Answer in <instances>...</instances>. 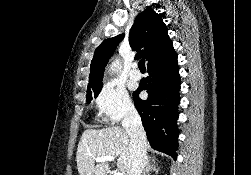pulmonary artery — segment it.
<instances>
[{
  "label": "pulmonary artery",
  "mask_w": 251,
  "mask_h": 175,
  "mask_svg": "<svg viewBox=\"0 0 251 175\" xmlns=\"http://www.w3.org/2000/svg\"><path fill=\"white\" fill-rule=\"evenodd\" d=\"M131 76L133 78L138 79L140 77V72L135 70V71L132 72Z\"/></svg>",
  "instance_id": "1"
}]
</instances>
